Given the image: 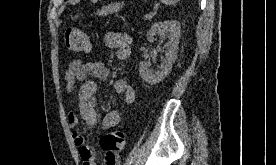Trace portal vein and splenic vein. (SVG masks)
<instances>
[{
  "label": "portal vein and splenic vein",
  "mask_w": 276,
  "mask_h": 165,
  "mask_svg": "<svg viewBox=\"0 0 276 165\" xmlns=\"http://www.w3.org/2000/svg\"><path fill=\"white\" fill-rule=\"evenodd\" d=\"M153 17V13H149L145 15V19H151Z\"/></svg>",
  "instance_id": "18ae733b"
}]
</instances>
